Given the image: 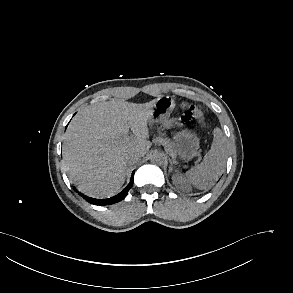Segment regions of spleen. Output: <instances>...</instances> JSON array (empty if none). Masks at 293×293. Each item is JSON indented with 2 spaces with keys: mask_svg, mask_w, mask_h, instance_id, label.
I'll use <instances>...</instances> for the list:
<instances>
[{
  "mask_svg": "<svg viewBox=\"0 0 293 293\" xmlns=\"http://www.w3.org/2000/svg\"><path fill=\"white\" fill-rule=\"evenodd\" d=\"M214 138L210 150L203 161L191 168L186 177L197 189L210 188L222 174L226 162V140L221 129H214Z\"/></svg>",
  "mask_w": 293,
  "mask_h": 293,
  "instance_id": "3e777b00",
  "label": "spleen"
}]
</instances>
